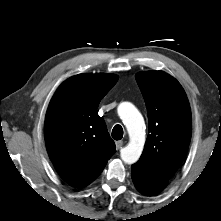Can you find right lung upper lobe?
Masks as SVG:
<instances>
[{"mask_svg":"<svg viewBox=\"0 0 221 221\" xmlns=\"http://www.w3.org/2000/svg\"><path fill=\"white\" fill-rule=\"evenodd\" d=\"M111 74H79L55 92L45 119V142L58 174L83 187L94 181L116 152L97 107L116 84Z\"/></svg>","mask_w":221,"mask_h":221,"instance_id":"obj_1","label":"right lung upper lobe"}]
</instances>
